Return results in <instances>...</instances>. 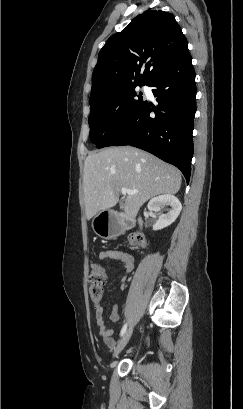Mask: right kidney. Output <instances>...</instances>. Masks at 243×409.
I'll list each match as a JSON object with an SVG mask.
<instances>
[{"label": "right kidney", "mask_w": 243, "mask_h": 409, "mask_svg": "<svg viewBox=\"0 0 243 409\" xmlns=\"http://www.w3.org/2000/svg\"><path fill=\"white\" fill-rule=\"evenodd\" d=\"M165 205H170L172 209L167 214H161L157 222L153 225V230H161L171 225L179 216L182 205L177 197L171 194H164L152 198L148 203V210L160 211Z\"/></svg>", "instance_id": "right-kidney-1"}]
</instances>
